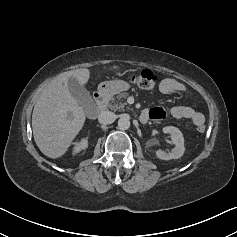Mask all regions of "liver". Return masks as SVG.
<instances>
[{
	"mask_svg": "<svg viewBox=\"0 0 237 237\" xmlns=\"http://www.w3.org/2000/svg\"><path fill=\"white\" fill-rule=\"evenodd\" d=\"M69 78L84 86L90 72L87 68H80L57 75L38 97L32 113L34 141L39 150L52 159L66 153L86 120V111L69 92Z\"/></svg>",
	"mask_w": 237,
	"mask_h": 237,
	"instance_id": "liver-1",
	"label": "liver"
}]
</instances>
